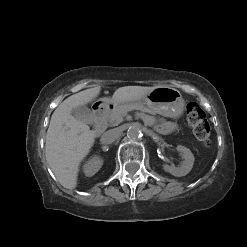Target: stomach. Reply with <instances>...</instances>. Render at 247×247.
Returning <instances> with one entry per match:
<instances>
[{
	"instance_id": "obj_1",
	"label": "stomach",
	"mask_w": 247,
	"mask_h": 247,
	"mask_svg": "<svg viewBox=\"0 0 247 247\" xmlns=\"http://www.w3.org/2000/svg\"><path fill=\"white\" fill-rule=\"evenodd\" d=\"M100 101L102 106L109 102L113 106L121 104L113 99H102ZM136 101L139 104H146L155 113L174 119L180 118L185 110V101L180 91L169 86L157 87L148 95Z\"/></svg>"
}]
</instances>
